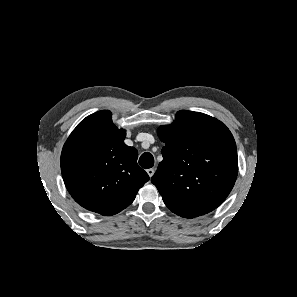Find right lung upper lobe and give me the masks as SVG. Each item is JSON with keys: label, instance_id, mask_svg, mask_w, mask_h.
I'll list each match as a JSON object with an SVG mask.
<instances>
[{"label": "right lung upper lobe", "instance_id": "1", "mask_svg": "<svg viewBox=\"0 0 297 297\" xmlns=\"http://www.w3.org/2000/svg\"><path fill=\"white\" fill-rule=\"evenodd\" d=\"M125 130L111 112H95L73 130L61 153L64 183L73 199L87 210L114 215L129 206L149 180L137 164L138 152L124 143Z\"/></svg>", "mask_w": 297, "mask_h": 297}]
</instances>
